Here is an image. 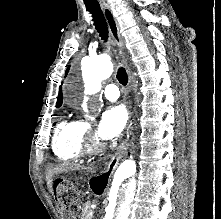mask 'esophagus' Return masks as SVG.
<instances>
[{"instance_id":"esophagus-1","label":"esophagus","mask_w":221,"mask_h":219,"mask_svg":"<svg viewBox=\"0 0 221 219\" xmlns=\"http://www.w3.org/2000/svg\"><path fill=\"white\" fill-rule=\"evenodd\" d=\"M103 12H104V16L105 19L107 21L111 36L114 40V43L116 44V46L119 49V53L122 56V61L124 63L127 75H128V87L131 88V84H132V73L131 70L128 66L127 60L124 56L123 50H124V41L122 39V36L120 34V29H119V25L118 22L110 8L109 5L104 4L103 5Z\"/></svg>"}]
</instances>
